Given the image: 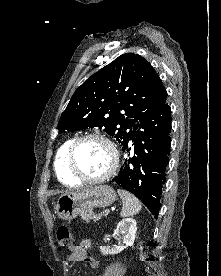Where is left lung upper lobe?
Masks as SVG:
<instances>
[{
    "label": "left lung upper lobe",
    "instance_id": "1",
    "mask_svg": "<svg viewBox=\"0 0 221 276\" xmlns=\"http://www.w3.org/2000/svg\"><path fill=\"white\" fill-rule=\"evenodd\" d=\"M166 97V89L150 63L138 54H123L74 92L58 129L73 132L104 128L125 147L140 124L166 102Z\"/></svg>",
    "mask_w": 221,
    "mask_h": 276
}]
</instances>
